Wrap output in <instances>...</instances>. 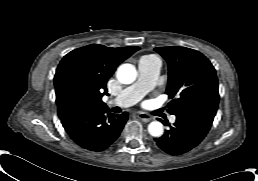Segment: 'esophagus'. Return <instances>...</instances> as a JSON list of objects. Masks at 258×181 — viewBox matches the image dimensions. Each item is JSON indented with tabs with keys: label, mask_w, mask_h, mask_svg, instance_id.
I'll list each match as a JSON object with an SVG mask.
<instances>
[{
	"label": "esophagus",
	"mask_w": 258,
	"mask_h": 181,
	"mask_svg": "<svg viewBox=\"0 0 258 181\" xmlns=\"http://www.w3.org/2000/svg\"><path fill=\"white\" fill-rule=\"evenodd\" d=\"M137 117L145 123L150 122L153 119L151 115L144 112L138 113Z\"/></svg>",
	"instance_id": "esophagus-1"
}]
</instances>
